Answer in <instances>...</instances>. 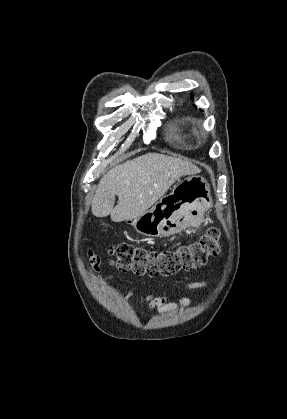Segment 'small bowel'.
Wrapping results in <instances>:
<instances>
[{
    "label": "small bowel",
    "instance_id": "small-bowel-1",
    "mask_svg": "<svg viewBox=\"0 0 287 419\" xmlns=\"http://www.w3.org/2000/svg\"><path fill=\"white\" fill-rule=\"evenodd\" d=\"M90 266L95 272H99L100 270V259L98 257L92 256L90 258ZM108 279H102L103 283H106ZM198 286L197 284L192 285V287ZM133 291L130 290L127 294V298L132 295ZM148 308L155 309L159 313L168 312L171 310L176 309L178 306H184L188 304V300L184 299L179 304L176 303H167L164 297H154L152 295L147 296L144 299Z\"/></svg>",
    "mask_w": 287,
    "mask_h": 419
}]
</instances>
